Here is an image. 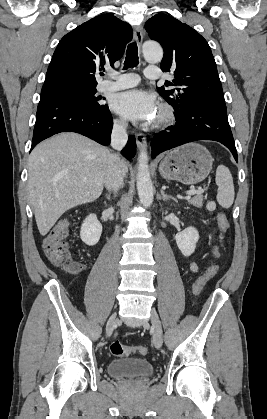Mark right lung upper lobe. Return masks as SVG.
I'll return each mask as SVG.
<instances>
[{
	"mask_svg": "<svg viewBox=\"0 0 267 419\" xmlns=\"http://www.w3.org/2000/svg\"><path fill=\"white\" fill-rule=\"evenodd\" d=\"M131 26L113 14L98 15L66 34L56 47L41 93L64 86L96 87L95 73L114 66L132 39Z\"/></svg>",
	"mask_w": 267,
	"mask_h": 419,
	"instance_id": "cb5924a9",
	"label": "right lung upper lobe"
}]
</instances>
